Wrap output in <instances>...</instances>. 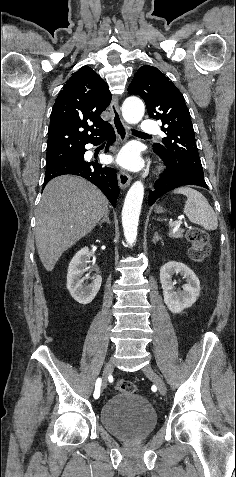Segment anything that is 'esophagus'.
<instances>
[{"label":"esophagus","instance_id":"esophagus-1","mask_svg":"<svg viewBox=\"0 0 236 477\" xmlns=\"http://www.w3.org/2000/svg\"><path fill=\"white\" fill-rule=\"evenodd\" d=\"M109 110L112 114V124L114 126L115 132L119 138V141L121 143H124L129 135V129L128 126L125 124L123 121L120 110H119V104H118V98L114 97L111 101V104L109 106ZM132 180V177L126 173L125 171H120L118 173V181L119 185L122 189L127 188L130 185V182Z\"/></svg>","mask_w":236,"mask_h":477}]
</instances>
